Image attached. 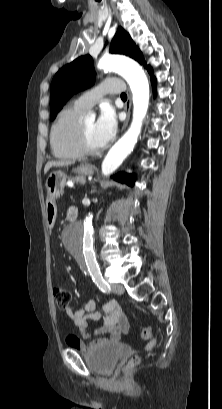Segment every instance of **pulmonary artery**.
<instances>
[{
	"instance_id": "1",
	"label": "pulmonary artery",
	"mask_w": 222,
	"mask_h": 409,
	"mask_svg": "<svg viewBox=\"0 0 222 409\" xmlns=\"http://www.w3.org/2000/svg\"><path fill=\"white\" fill-rule=\"evenodd\" d=\"M123 90H124L123 84L121 83L113 84L108 80H104L94 88L90 89L89 91L79 96L75 103L84 110H89L94 105H96L103 98L104 95L119 94L123 92Z\"/></svg>"
}]
</instances>
